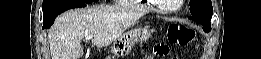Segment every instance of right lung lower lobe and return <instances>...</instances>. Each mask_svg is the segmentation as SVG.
Segmentation results:
<instances>
[{
	"instance_id": "1",
	"label": "right lung lower lobe",
	"mask_w": 261,
	"mask_h": 59,
	"mask_svg": "<svg viewBox=\"0 0 261 59\" xmlns=\"http://www.w3.org/2000/svg\"><path fill=\"white\" fill-rule=\"evenodd\" d=\"M86 4L85 3H71V4H67L61 8H59L57 11L52 12L51 14L45 15L44 16V20H43V29L46 28H50L51 25L54 23L55 18L62 12L68 10V9H72V8H78V7H85Z\"/></svg>"
}]
</instances>
